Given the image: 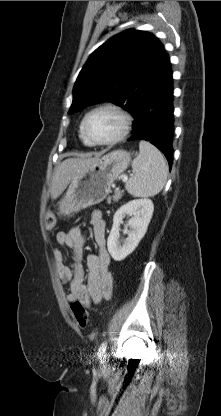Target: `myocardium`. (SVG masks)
I'll return each instance as SVG.
<instances>
[{"mask_svg": "<svg viewBox=\"0 0 221 416\" xmlns=\"http://www.w3.org/2000/svg\"><path fill=\"white\" fill-rule=\"evenodd\" d=\"M102 110H109L114 112L115 114H117L119 116V118L121 119V128L119 133L107 140H103V141H98V140H94L92 139L86 131V124L88 119L90 118L91 115H93L94 113L98 112V111H102ZM131 123H132V118L131 115L121 106L114 104V103H104V104H100L94 108H92L91 110H89L82 122H81V127H80V131L82 136L86 139V141H88L91 145H99V146H107V145H113L116 144L120 141H122L129 133L130 128H131Z\"/></svg>", "mask_w": 221, "mask_h": 416, "instance_id": "1", "label": "myocardium"}]
</instances>
